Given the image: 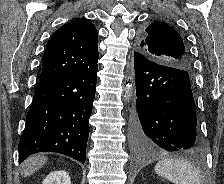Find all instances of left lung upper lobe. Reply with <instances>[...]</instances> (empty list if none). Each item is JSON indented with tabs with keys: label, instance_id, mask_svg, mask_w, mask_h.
<instances>
[{
	"label": "left lung upper lobe",
	"instance_id": "1",
	"mask_svg": "<svg viewBox=\"0 0 224 184\" xmlns=\"http://www.w3.org/2000/svg\"><path fill=\"white\" fill-rule=\"evenodd\" d=\"M151 62L190 71L191 62L180 34L163 22L151 23L143 32L138 52Z\"/></svg>",
	"mask_w": 224,
	"mask_h": 184
}]
</instances>
